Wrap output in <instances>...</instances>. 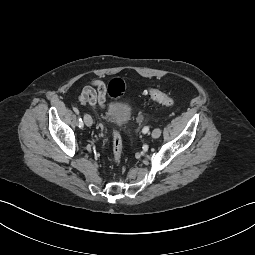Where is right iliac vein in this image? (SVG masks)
Returning <instances> with one entry per match:
<instances>
[{"instance_id":"right-iliac-vein-1","label":"right iliac vein","mask_w":255,"mask_h":255,"mask_svg":"<svg viewBox=\"0 0 255 255\" xmlns=\"http://www.w3.org/2000/svg\"><path fill=\"white\" fill-rule=\"evenodd\" d=\"M84 122L87 126H91L93 124L92 117L89 114L84 115Z\"/></svg>"}]
</instances>
